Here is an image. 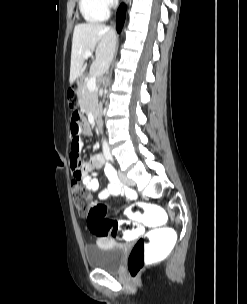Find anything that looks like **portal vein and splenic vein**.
<instances>
[{
	"label": "portal vein and splenic vein",
	"instance_id": "portal-vein-and-splenic-vein-1",
	"mask_svg": "<svg viewBox=\"0 0 247 304\" xmlns=\"http://www.w3.org/2000/svg\"><path fill=\"white\" fill-rule=\"evenodd\" d=\"M91 56H92V52H90V51H86L85 54H84L85 58H88V57H91ZM87 87L90 91H96L97 90V88H96V78L95 77H90L87 80Z\"/></svg>",
	"mask_w": 247,
	"mask_h": 304
}]
</instances>
